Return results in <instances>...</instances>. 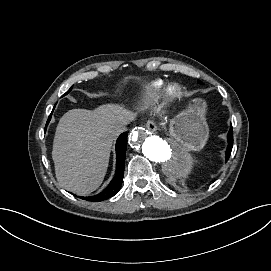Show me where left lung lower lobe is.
Segmentation results:
<instances>
[{
	"mask_svg": "<svg viewBox=\"0 0 271 271\" xmlns=\"http://www.w3.org/2000/svg\"><path fill=\"white\" fill-rule=\"evenodd\" d=\"M233 146V130L232 126L230 127L229 133H228V148L226 151V159L228 160L232 151Z\"/></svg>",
	"mask_w": 271,
	"mask_h": 271,
	"instance_id": "left-lung-lower-lobe-1",
	"label": "left lung lower lobe"
}]
</instances>
